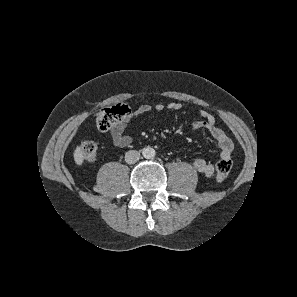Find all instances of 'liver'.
Masks as SVG:
<instances>
[{
    "label": "liver",
    "instance_id": "liver-1",
    "mask_svg": "<svg viewBox=\"0 0 297 297\" xmlns=\"http://www.w3.org/2000/svg\"><path fill=\"white\" fill-rule=\"evenodd\" d=\"M84 160V153L80 146H77L74 151V161L77 165H82Z\"/></svg>",
    "mask_w": 297,
    "mask_h": 297
}]
</instances>
